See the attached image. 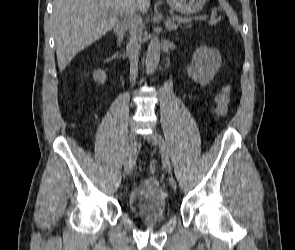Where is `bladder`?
I'll list each match as a JSON object with an SVG mask.
<instances>
[{
    "instance_id": "obj_1",
    "label": "bladder",
    "mask_w": 295,
    "mask_h": 250,
    "mask_svg": "<svg viewBox=\"0 0 295 250\" xmlns=\"http://www.w3.org/2000/svg\"><path fill=\"white\" fill-rule=\"evenodd\" d=\"M128 208L137 219L162 218L167 210V199L160 182L155 177L141 180L130 192Z\"/></svg>"
}]
</instances>
